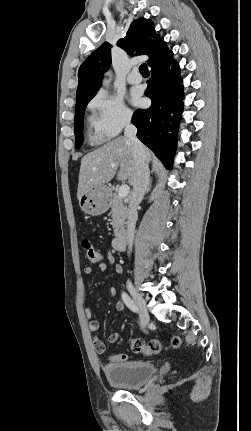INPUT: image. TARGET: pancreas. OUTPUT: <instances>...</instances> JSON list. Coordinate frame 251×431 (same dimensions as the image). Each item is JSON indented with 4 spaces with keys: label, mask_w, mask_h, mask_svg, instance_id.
Instances as JSON below:
<instances>
[{
    "label": "pancreas",
    "mask_w": 251,
    "mask_h": 431,
    "mask_svg": "<svg viewBox=\"0 0 251 431\" xmlns=\"http://www.w3.org/2000/svg\"><path fill=\"white\" fill-rule=\"evenodd\" d=\"M111 217H112V226L114 228V235L116 237H121L124 235V225L125 219L127 217V207L123 202V199L118 196V194L114 193L112 195V203H111Z\"/></svg>",
    "instance_id": "cf45deb5"
}]
</instances>
